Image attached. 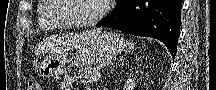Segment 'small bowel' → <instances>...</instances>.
Masks as SVG:
<instances>
[{
    "mask_svg": "<svg viewBox=\"0 0 216 90\" xmlns=\"http://www.w3.org/2000/svg\"><path fill=\"white\" fill-rule=\"evenodd\" d=\"M74 77L67 75L59 90H71L74 84Z\"/></svg>",
    "mask_w": 216,
    "mask_h": 90,
    "instance_id": "1",
    "label": "small bowel"
}]
</instances>
